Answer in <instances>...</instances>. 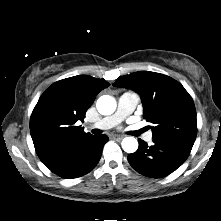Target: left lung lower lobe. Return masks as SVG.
Masks as SVG:
<instances>
[{
    "mask_svg": "<svg viewBox=\"0 0 221 221\" xmlns=\"http://www.w3.org/2000/svg\"><path fill=\"white\" fill-rule=\"evenodd\" d=\"M192 145L153 138V145L139 139V148L128 155L130 165L140 174L161 178L175 171L189 156Z\"/></svg>",
    "mask_w": 221,
    "mask_h": 221,
    "instance_id": "obj_1",
    "label": "left lung lower lobe"
}]
</instances>
